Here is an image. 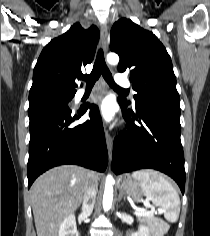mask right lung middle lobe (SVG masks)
I'll return each mask as SVG.
<instances>
[{"instance_id": "obj_1", "label": "right lung middle lobe", "mask_w": 210, "mask_h": 236, "mask_svg": "<svg viewBox=\"0 0 210 236\" xmlns=\"http://www.w3.org/2000/svg\"><path fill=\"white\" fill-rule=\"evenodd\" d=\"M75 93L61 92L55 90H44L38 92L32 100H29L28 114L43 111L50 108H68V103Z\"/></svg>"}]
</instances>
